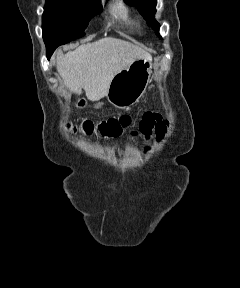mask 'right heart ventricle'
I'll use <instances>...</instances> for the list:
<instances>
[{"instance_id": "obj_1", "label": "right heart ventricle", "mask_w": 240, "mask_h": 288, "mask_svg": "<svg viewBox=\"0 0 240 288\" xmlns=\"http://www.w3.org/2000/svg\"><path fill=\"white\" fill-rule=\"evenodd\" d=\"M110 12L113 17L122 20L127 24H134V21L131 17L129 7L123 2L118 1L110 7Z\"/></svg>"}]
</instances>
